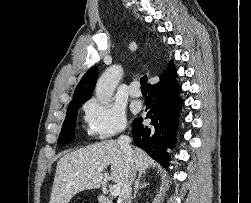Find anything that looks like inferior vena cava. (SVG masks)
<instances>
[{
  "label": "inferior vena cava",
  "mask_w": 251,
  "mask_h": 203,
  "mask_svg": "<svg viewBox=\"0 0 251 203\" xmlns=\"http://www.w3.org/2000/svg\"><path fill=\"white\" fill-rule=\"evenodd\" d=\"M117 142L120 146V149L123 151V153L127 157V163H130L133 156V150L130 146V143H131L130 137L126 135H121ZM135 174H136L135 169L132 167H129V170L125 176L121 193L119 195V203H131V199H132L131 187H132Z\"/></svg>",
  "instance_id": "inferior-vena-cava-1"
}]
</instances>
